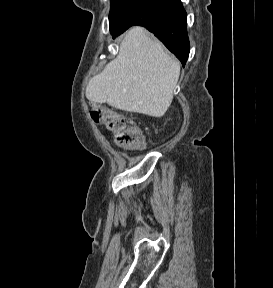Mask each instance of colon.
<instances>
[{
  "instance_id": "obj_1",
  "label": "colon",
  "mask_w": 273,
  "mask_h": 288,
  "mask_svg": "<svg viewBox=\"0 0 273 288\" xmlns=\"http://www.w3.org/2000/svg\"><path fill=\"white\" fill-rule=\"evenodd\" d=\"M90 115L95 123L107 126L118 146L127 149H140L144 146V135L130 117L103 105L92 106Z\"/></svg>"
}]
</instances>
